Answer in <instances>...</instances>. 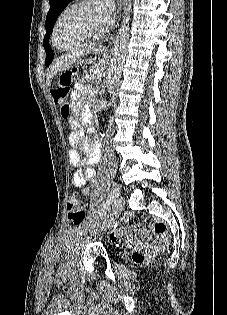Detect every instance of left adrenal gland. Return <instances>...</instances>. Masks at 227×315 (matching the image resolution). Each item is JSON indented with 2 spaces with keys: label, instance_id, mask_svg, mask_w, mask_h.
Masks as SVG:
<instances>
[{
  "label": "left adrenal gland",
  "instance_id": "obj_1",
  "mask_svg": "<svg viewBox=\"0 0 227 315\" xmlns=\"http://www.w3.org/2000/svg\"><path fill=\"white\" fill-rule=\"evenodd\" d=\"M100 85H101V77L99 76L98 77V81H97V85H96V94L100 91V92H103L104 90L103 89H101V87H100Z\"/></svg>",
  "mask_w": 227,
  "mask_h": 315
}]
</instances>
